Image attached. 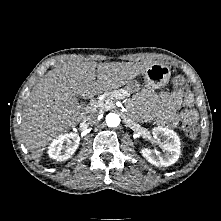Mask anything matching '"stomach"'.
Listing matches in <instances>:
<instances>
[{"label":"stomach","mask_w":221,"mask_h":221,"mask_svg":"<svg viewBox=\"0 0 221 221\" xmlns=\"http://www.w3.org/2000/svg\"><path fill=\"white\" fill-rule=\"evenodd\" d=\"M142 90L148 94H154L156 89L163 88L170 80L171 71L166 65L153 63L143 71ZM127 91L134 93L139 91V86L129 85Z\"/></svg>","instance_id":"obj_1"}]
</instances>
